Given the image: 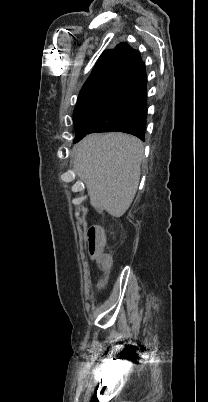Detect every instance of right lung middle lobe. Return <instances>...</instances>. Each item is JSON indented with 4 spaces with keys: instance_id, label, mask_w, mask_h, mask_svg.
Wrapping results in <instances>:
<instances>
[{
    "instance_id": "obj_1",
    "label": "right lung middle lobe",
    "mask_w": 208,
    "mask_h": 402,
    "mask_svg": "<svg viewBox=\"0 0 208 402\" xmlns=\"http://www.w3.org/2000/svg\"><path fill=\"white\" fill-rule=\"evenodd\" d=\"M105 85L94 89L78 97L74 110V123L81 122L95 116H113L116 117L121 110V96L118 90ZM77 136L74 142L79 141L86 131L76 130Z\"/></svg>"
}]
</instances>
